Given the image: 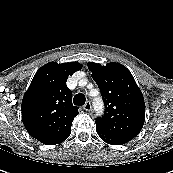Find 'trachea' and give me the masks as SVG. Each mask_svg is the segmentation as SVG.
<instances>
[{
	"instance_id": "obj_1",
	"label": "trachea",
	"mask_w": 173,
	"mask_h": 173,
	"mask_svg": "<svg viewBox=\"0 0 173 173\" xmlns=\"http://www.w3.org/2000/svg\"><path fill=\"white\" fill-rule=\"evenodd\" d=\"M85 101H86V97L83 93H78L73 98V103H74V105H77V106L84 105Z\"/></svg>"
}]
</instances>
